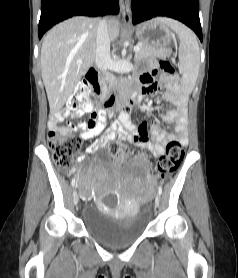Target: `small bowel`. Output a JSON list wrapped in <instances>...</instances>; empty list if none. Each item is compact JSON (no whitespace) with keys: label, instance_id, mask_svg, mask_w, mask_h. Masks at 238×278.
<instances>
[{"label":"small bowel","instance_id":"c3829d8e","mask_svg":"<svg viewBox=\"0 0 238 278\" xmlns=\"http://www.w3.org/2000/svg\"><path fill=\"white\" fill-rule=\"evenodd\" d=\"M156 74L157 63L151 61L150 68L143 72L137 79L138 88L135 92L136 104H139L145 95L151 94L160 88L161 84L154 80ZM162 84L166 86V91L162 95V99L172 103L174 108L161 114V117L166 123L174 124V134H168L154 122L150 123L144 121L139 125L134 124L131 120V110L123 112L119 119L102 134L101 132L106 123V112L103 110L92 112L88 120L77 125L69 124L65 127H60L58 124L64 119L82 115V112L76 111L75 113H72L68 109H63L52 115L49 126L51 129H58L60 131L77 129L80 133V137L84 140L95 138L87 148V153L89 154L96 152L98 149L105 148L110 141L119 140L127 141L136 147L148 150L156 157L161 156L164 152L165 146L171 141H177L182 146H185L188 143L186 119L187 95L182 91L175 78H164ZM80 159H83V157H80ZM147 179L151 180L149 174H147Z\"/></svg>","mask_w":238,"mask_h":278}]
</instances>
